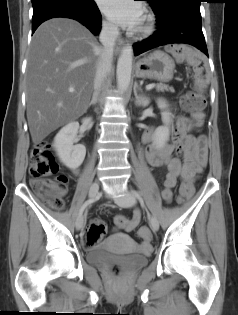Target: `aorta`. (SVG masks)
Wrapping results in <instances>:
<instances>
[{
  "mask_svg": "<svg viewBox=\"0 0 238 315\" xmlns=\"http://www.w3.org/2000/svg\"><path fill=\"white\" fill-rule=\"evenodd\" d=\"M133 48L127 44L123 47L117 62V87L123 93L128 90L131 81Z\"/></svg>",
  "mask_w": 238,
  "mask_h": 315,
  "instance_id": "762f6f07",
  "label": "aorta"
}]
</instances>
